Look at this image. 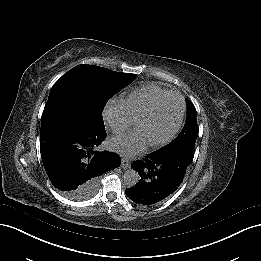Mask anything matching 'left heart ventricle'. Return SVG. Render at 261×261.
Returning a JSON list of instances; mask_svg holds the SVG:
<instances>
[{
	"label": "left heart ventricle",
	"instance_id": "obj_1",
	"mask_svg": "<svg viewBox=\"0 0 261 261\" xmlns=\"http://www.w3.org/2000/svg\"><path fill=\"white\" fill-rule=\"evenodd\" d=\"M178 114V106L172 104L164 111L144 118L137 127V136L146 141H155L164 137L176 124Z\"/></svg>",
	"mask_w": 261,
	"mask_h": 261
}]
</instances>
